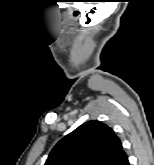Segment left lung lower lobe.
Here are the masks:
<instances>
[{
	"label": "left lung lower lobe",
	"mask_w": 154,
	"mask_h": 165,
	"mask_svg": "<svg viewBox=\"0 0 154 165\" xmlns=\"http://www.w3.org/2000/svg\"><path fill=\"white\" fill-rule=\"evenodd\" d=\"M117 165H129L127 155L125 154L124 151H123L122 157L119 160V162L117 163Z\"/></svg>",
	"instance_id": "0a47b994"
}]
</instances>
